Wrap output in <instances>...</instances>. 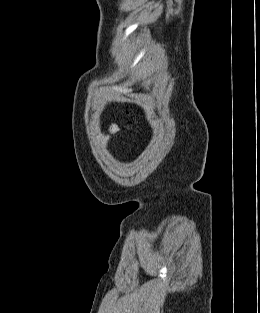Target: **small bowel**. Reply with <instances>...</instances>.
I'll return each instance as SVG.
<instances>
[{
    "instance_id": "small-bowel-1",
    "label": "small bowel",
    "mask_w": 260,
    "mask_h": 313,
    "mask_svg": "<svg viewBox=\"0 0 260 313\" xmlns=\"http://www.w3.org/2000/svg\"><path fill=\"white\" fill-rule=\"evenodd\" d=\"M118 131H119V126H118L117 124H113V125L110 127L107 136L105 137V144H106L107 141L109 140L110 136L116 134Z\"/></svg>"
}]
</instances>
